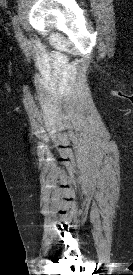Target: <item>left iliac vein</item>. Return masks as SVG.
Wrapping results in <instances>:
<instances>
[{
	"label": "left iliac vein",
	"instance_id": "left-iliac-vein-1",
	"mask_svg": "<svg viewBox=\"0 0 133 275\" xmlns=\"http://www.w3.org/2000/svg\"><path fill=\"white\" fill-rule=\"evenodd\" d=\"M15 31H16V32H19V33L21 34L20 37H21L22 41H24V40H25V37H24V35H23V33H22V30L20 29L19 25H16Z\"/></svg>",
	"mask_w": 133,
	"mask_h": 275
}]
</instances>
